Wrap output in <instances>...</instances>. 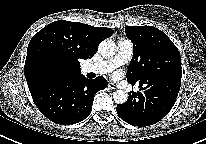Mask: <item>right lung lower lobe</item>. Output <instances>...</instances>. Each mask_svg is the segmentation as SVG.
Masks as SVG:
<instances>
[{
	"instance_id": "obj_1",
	"label": "right lung lower lobe",
	"mask_w": 206,
	"mask_h": 144,
	"mask_svg": "<svg viewBox=\"0 0 206 144\" xmlns=\"http://www.w3.org/2000/svg\"><path fill=\"white\" fill-rule=\"evenodd\" d=\"M108 83L101 76L94 80L84 76L72 80H53L30 89L35 105L54 123L76 124L89 116L94 95Z\"/></svg>"
}]
</instances>
